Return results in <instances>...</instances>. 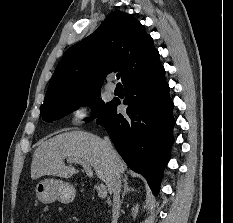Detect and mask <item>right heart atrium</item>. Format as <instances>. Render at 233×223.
<instances>
[{"mask_svg":"<svg viewBox=\"0 0 233 223\" xmlns=\"http://www.w3.org/2000/svg\"><path fill=\"white\" fill-rule=\"evenodd\" d=\"M93 111V103L90 100H83L79 102L71 115V124L80 125L89 121Z\"/></svg>","mask_w":233,"mask_h":223,"instance_id":"right-heart-atrium-1","label":"right heart atrium"}]
</instances>
